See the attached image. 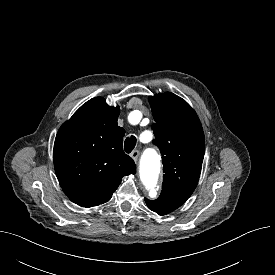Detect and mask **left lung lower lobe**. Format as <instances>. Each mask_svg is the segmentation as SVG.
<instances>
[{
	"label": "left lung lower lobe",
	"mask_w": 275,
	"mask_h": 275,
	"mask_svg": "<svg viewBox=\"0 0 275 275\" xmlns=\"http://www.w3.org/2000/svg\"><path fill=\"white\" fill-rule=\"evenodd\" d=\"M187 199L184 198H163L159 197L154 201H150L145 198L146 204L148 208L159 215H166L173 210L177 209L183 203L186 202Z\"/></svg>",
	"instance_id": "0a47b994"
}]
</instances>
